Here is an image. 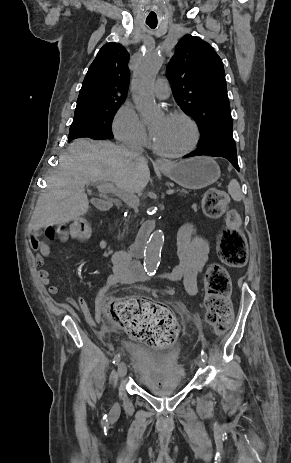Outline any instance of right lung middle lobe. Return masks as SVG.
Segmentation results:
<instances>
[{"mask_svg":"<svg viewBox=\"0 0 291 463\" xmlns=\"http://www.w3.org/2000/svg\"><path fill=\"white\" fill-rule=\"evenodd\" d=\"M123 101H110L91 112L74 116L69 130V141L76 138L112 139V121Z\"/></svg>","mask_w":291,"mask_h":463,"instance_id":"1","label":"right lung middle lobe"}]
</instances>
